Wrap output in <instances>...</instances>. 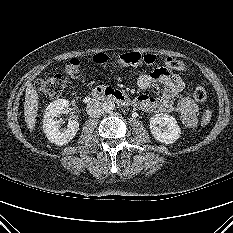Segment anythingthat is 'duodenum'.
Returning <instances> with one entry per match:
<instances>
[{
    "instance_id": "obj_1",
    "label": "duodenum",
    "mask_w": 233,
    "mask_h": 233,
    "mask_svg": "<svg viewBox=\"0 0 233 233\" xmlns=\"http://www.w3.org/2000/svg\"><path fill=\"white\" fill-rule=\"evenodd\" d=\"M102 100H113L123 106H128L131 103L130 98L121 90L113 87L98 86L91 91L88 102L93 103Z\"/></svg>"
}]
</instances>
